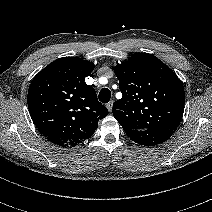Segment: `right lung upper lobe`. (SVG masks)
I'll list each match as a JSON object with an SVG mask.
<instances>
[{
    "label": "right lung upper lobe",
    "instance_id": "obj_1",
    "mask_svg": "<svg viewBox=\"0 0 212 212\" xmlns=\"http://www.w3.org/2000/svg\"><path fill=\"white\" fill-rule=\"evenodd\" d=\"M92 62L63 57L51 62L32 80L28 96L30 115L43 136L61 147L89 139L108 110L85 78Z\"/></svg>",
    "mask_w": 212,
    "mask_h": 212
}]
</instances>
